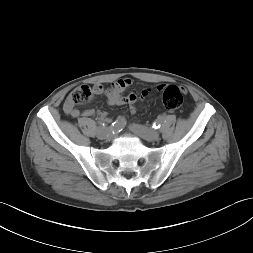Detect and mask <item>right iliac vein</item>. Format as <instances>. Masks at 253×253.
Listing matches in <instances>:
<instances>
[{"label": "right iliac vein", "mask_w": 253, "mask_h": 253, "mask_svg": "<svg viewBox=\"0 0 253 253\" xmlns=\"http://www.w3.org/2000/svg\"><path fill=\"white\" fill-rule=\"evenodd\" d=\"M110 135V129L109 128H99L97 131V137L101 140L107 139Z\"/></svg>", "instance_id": "right-iliac-vein-1"}]
</instances>
